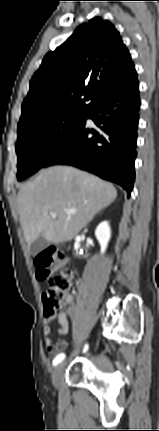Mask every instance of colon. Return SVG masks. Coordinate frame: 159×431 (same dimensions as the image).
Returning <instances> with one entry per match:
<instances>
[{
  "label": "colon",
  "mask_w": 159,
  "mask_h": 431,
  "mask_svg": "<svg viewBox=\"0 0 159 431\" xmlns=\"http://www.w3.org/2000/svg\"><path fill=\"white\" fill-rule=\"evenodd\" d=\"M62 253L54 247L38 252L34 263L38 279H49V286L43 294L44 310L47 316L52 317L61 308L65 294L72 281V272L64 268L60 273L52 275L53 270L62 261Z\"/></svg>",
  "instance_id": "5ec220e1"
}]
</instances>
